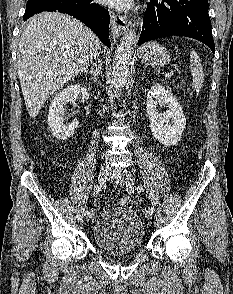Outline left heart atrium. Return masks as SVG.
I'll return each mask as SVG.
<instances>
[{
	"label": "left heart atrium",
	"instance_id": "obj_1",
	"mask_svg": "<svg viewBox=\"0 0 233 294\" xmlns=\"http://www.w3.org/2000/svg\"><path fill=\"white\" fill-rule=\"evenodd\" d=\"M101 3L114 7L116 9L124 10L130 8L133 0H99Z\"/></svg>",
	"mask_w": 233,
	"mask_h": 294
}]
</instances>
